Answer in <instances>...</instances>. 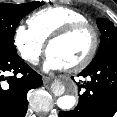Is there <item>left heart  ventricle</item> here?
I'll return each instance as SVG.
<instances>
[{"instance_id":"left-heart-ventricle-1","label":"left heart ventricle","mask_w":117,"mask_h":117,"mask_svg":"<svg viewBox=\"0 0 117 117\" xmlns=\"http://www.w3.org/2000/svg\"><path fill=\"white\" fill-rule=\"evenodd\" d=\"M92 44L91 33L80 31L62 41L51 45L49 54L61 60L67 67L81 61L89 52Z\"/></svg>"}]
</instances>
